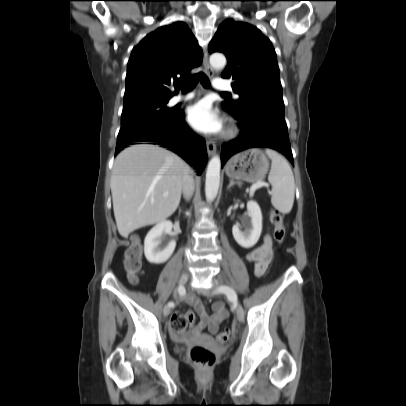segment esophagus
I'll list each match as a JSON object with an SVG mask.
<instances>
[{
    "instance_id": "esophagus-1",
    "label": "esophagus",
    "mask_w": 406,
    "mask_h": 406,
    "mask_svg": "<svg viewBox=\"0 0 406 406\" xmlns=\"http://www.w3.org/2000/svg\"><path fill=\"white\" fill-rule=\"evenodd\" d=\"M203 67L205 70V73L209 76L212 77L213 76V70L209 64V60H208V52L207 50H205L204 52V57H203ZM207 146V153L209 156H211L212 154L215 153L216 151V144L212 141H207L206 143Z\"/></svg>"
}]
</instances>
